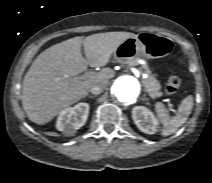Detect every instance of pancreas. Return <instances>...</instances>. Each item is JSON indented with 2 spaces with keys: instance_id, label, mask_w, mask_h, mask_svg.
Segmentation results:
<instances>
[{
  "instance_id": "pancreas-1",
  "label": "pancreas",
  "mask_w": 212,
  "mask_h": 183,
  "mask_svg": "<svg viewBox=\"0 0 212 183\" xmlns=\"http://www.w3.org/2000/svg\"><path fill=\"white\" fill-rule=\"evenodd\" d=\"M138 58L132 59L129 62H127L130 65H137L138 64ZM145 72L148 74V77L145 79H142V84L145 88V91L149 94V96L152 99H155L157 97H161L162 96V92H160V83L158 82V80L156 78H154L153 76H151V71L149 70V68L147 66L143 67Z\"/></svg>"
}]
</instances>
